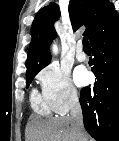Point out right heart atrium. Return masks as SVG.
<instances>
[{
    "label": "right heart atrium",
    "mask_w": 119,
    "mask_h": 141,
    "mask_svg": "<svg viewBox=\"0 0 119 141\" xmlns=\"http://www.w3.org/2000/svg\"><path fill=\"white\" fill-rule=\"evenodd\" d=\"M37 80L42 96L50 108L57 113H66L79 102V93L70 74L57 63L42 69Z\"/></svg>",
    "instance_id": "right-heart-atrium-1"
}]
</instances>
